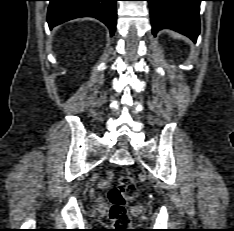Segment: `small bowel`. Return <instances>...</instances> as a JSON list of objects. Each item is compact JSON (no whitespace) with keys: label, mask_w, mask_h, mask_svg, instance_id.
I'll return each instance as SVG.
<instances>
[{"label":"small bowel","mask_w":234,"mask_h":231,"mask_svg":"<svg viewBox=\"0 0 234 231\" xmlns=\"http://www.w3.org/2000/svg\"><path fill=\"white\" fill-rule=\"evenodd\" d=\"M112 178V173H108L107 177L105 179H101L99 182H98V185L100 188H106L109 186L110 184V180Z\"/></svg>","instance_id":"1"}]
</instances>
